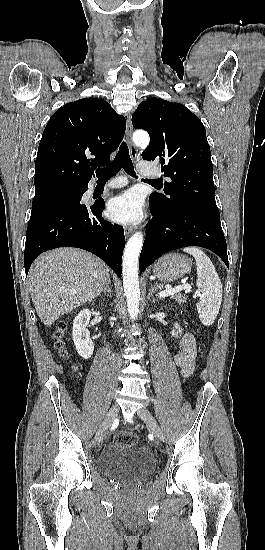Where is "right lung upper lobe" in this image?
<instances>
[{
  "label": "right lung upper lobe",
  "mask_w": 265,
  "mask_h": 550,
  "mask_svg": "<svg viewBox=\"0 0 265 550\" xmlns=\"http://www.w3.org/2000/svg\"><path fill=\"white\" fill-rule=\"evenodd\" d=\"M125 128L124 117L103 99L67 103L43 132L35 161V188H87L93 170L110 163L109 155L117 149Z\"/></svg>",
  "instance_id": "right-lung-upper-lobe-1"
}]
</instances>
